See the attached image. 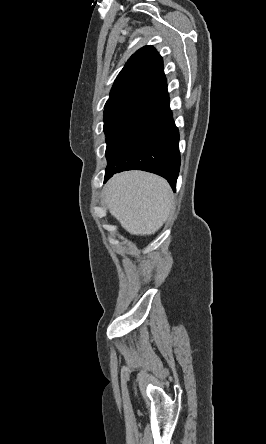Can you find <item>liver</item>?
<instances>
[{"mask_svg":"<svg viewBox=\"0 0 266 444\" xmlns=\"http://www.w3.org/2000/svg\"><path fill=\"white\" fill-rule=\"evenodd\" d=\"M110 213L133 235H151L167 220L173 207L168 182L154 174L128 171L115 175L105 186Z\"/></svg>","mask_w":266,"mask_h":444,"instance_id":"1","label":"liver"}]
</instances>
